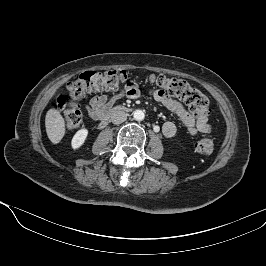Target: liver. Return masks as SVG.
<instances>
[{"label": "liver", "mask_w": 266, "mask_h": 266, "mask_svg": "<svg viewBox=\"0 0 266 266\" xmlns=\"http://www.w3.org/2000/svg\"><path fill=\"white\" fill-rule=\"evenodd\" d=\"M46 133L53 144L59 143L65 135V121L55 108H51L45 117Z\"/></svg>", "instance_id": "1"}]
</instances>
